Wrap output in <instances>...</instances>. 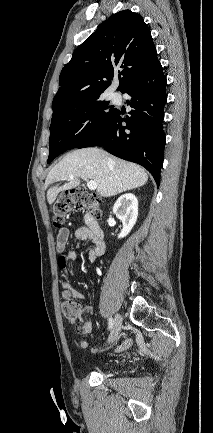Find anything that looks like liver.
Here are the masks:
<instances>
[{
	"instance_id": "6515ba94",
	"label": "liver",
	"mask_w": 213,
	"mask_h": 433,
	"mask_svg": "<svg viewBox=\"0 0 213 433\" xmlns=\"http://www.w3.org/2000/svg\"><path fill=\"white\" fill-rule=\"evenodd\" d=\"M82 177L95 181L97 192L103 197L138 188L148 180L147 173L139 165L113 157L98 148L78 149L66 155L49 172L46 188L57 181L67 183L47 190L48 203L52 204L61 191L79 186Z\"/></svg>"
}]
</instances>
